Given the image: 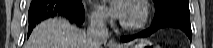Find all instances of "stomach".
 <instances>
[{
    "label": "stomach",
    "instance_id": "1",
    "mask_svg": "<svg viewBox=\"0 0 213 48\" xmlns=\"http://www.w3.org/2000/svg\"><path fill=\"white\" fill-rule=\"evenodd\" d=\"M166 31L167 30H161V33H164ZM125 48H160V47L157 44L141 41L138 44H135V45H133L131 47H125Z\"/></svg>",
    "mask_w": 213,
    "mask_h": 48
}]
</instances>
